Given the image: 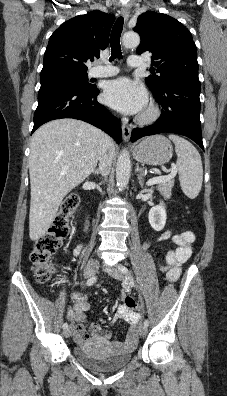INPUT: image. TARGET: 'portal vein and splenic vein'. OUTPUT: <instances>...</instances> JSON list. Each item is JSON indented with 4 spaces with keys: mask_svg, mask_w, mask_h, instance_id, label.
Wrapping results in <instances>:
<instances>
[{
    "mask_svg": "<svg viewBox=\"0 0 227 396\" xmlns=\"http://www.w3.org/2000/svg\"><path fill=\"white\" fill-rule=\"evenodd\" d=\"M176 174H177V168L175 166H172L171 172L168 175H166V176L160 175V176L151 178L150 180L147 181L146 184L148 186H150V185L166 182L167 180L174 178L176 176Z\"/></svg>",
    "mask_w": 227,
    "mask_h": 396,
    "instance_id": "portal-vein-and-splenic-vein-1",
    "label": "portal vein and splenic vein"
}]
</instances>
